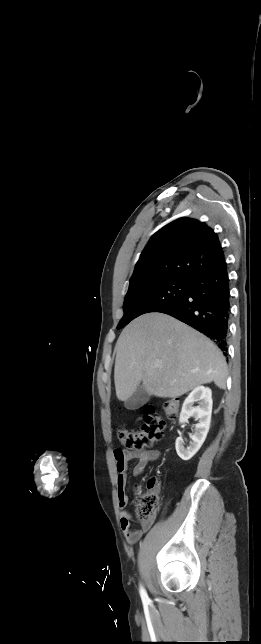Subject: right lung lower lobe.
I'll return each mask as SVG.
<instances>
[{"instance_id":"right-lung-lower-lobe-1","label":"right lung lower lobe","mask_w":261,"mask_h":644,"mask_svg":"<svg viewBox=\"0 0 261 644\" xmlns=\"http://www.w3.org/2000/svg\"><path fill=\"white\" fill-rule=\"evenodd\" d=\"M158 312L168 314L204 333L226 355L230 317V288L225 260L189 280L188 292L175 305Z\"/></svg>"}]
</instances>
